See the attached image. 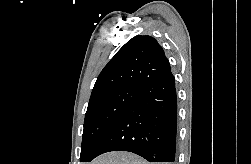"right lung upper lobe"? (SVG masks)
Instances as JSON below:
<instances>
[{
    "mask_svg": "<svg viewBox=\"0 0 251 164\" xmlns=\"http://www.w3.org/2000/svg\"><path fill=\"white\" fill-rule=\"evenodd\" d=\"M162 47L151 36L130 39L103 68L90 99L122 88H142L170 72Z\"/></svg>",
    "mask_w": 251,
    "mask_h": 164,
    "instance_id": "1",
    "label": "right lung upper lobe"
}]
</instances>
